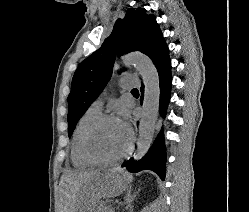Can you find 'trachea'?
I'll return each mask as SVG.
<instances>
[{
  "label": "trachea",
  "mask_w": 249,
  "mask_h": 212,
  "mask_svg": "<svg viewBox=\"0 0 249 212\" xmlns=\"http://www.w3.org/2000/svg\"><path fill=\"white\" fill-rule=\"evenodd\" d=\"M132 90H137V88H133Z\"/></svg>",
  "instance_id": "3493384b"
}]
</instances>
